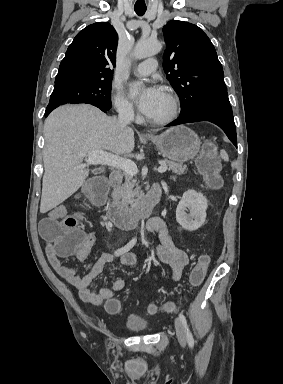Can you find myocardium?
<instances>
[{
  "label": "myocardium",
  "mask_w": 283,
  "mask_h": 384,
  "mask_svg": "<svg viewBox=\"0 0 283 384\" xmlns=\"http://www.w3.org/2000/svg\"><path fill=\"white\" fill-rule=\"evenodd\" d=\"M164 94L166 95L169 103L168 113L164 117L157 118V119L145 118V121L147 123L151 125H157V126L166 125L174 121V119L177 117L178 109H179V103H178L177 97L173 94V92H171L168 89L164 91Z\"/></svg>",
  "instance_id": "myocardium-1"
}]
</instances>
